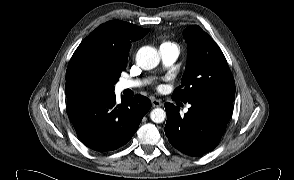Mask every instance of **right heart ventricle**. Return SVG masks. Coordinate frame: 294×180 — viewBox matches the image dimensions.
Segmentation results:
<instances>
[{"instance_id":"1","label":"right heart ventricle","mask_w":294,"mask_h":180,"mask_svg":"<svg viewBox=\"0 0 294 180\" xmlns=\"http://www.w3.org/2000/svg\"><path fill=\"white\" fill-rule=\"evenodd\" d=\"M169 45H173V44L170 43V42H163V43L160 45V47H162V46H169Z\"/></svg>"}]
</instances>
